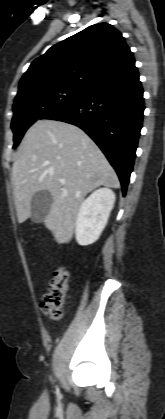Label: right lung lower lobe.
Here are the masks:
<instances>
[{
    "instance_id": "right-lung-lower-lobe-1",
    "label": "right lung lower lobe",
    "mask_w": 165,
    "mask_h": 419,
    "mask_svg": "<svg viewBox=\"0 0 165 419\" xmlns=\"http://www.w3.org/2000/svg\"><path fill=\"white\" fill-rule=\"evenodd\" d=\"M143 89L133 65L75 102L55 109L41 119L67 122L84 130L116 170L126 194L142 128Z\"/></svg>"
}]
</instances>
